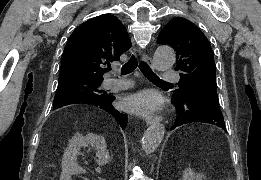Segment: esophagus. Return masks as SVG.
Segmentation results:
<instances>
[{"label":"esophagus","mask_w":261,"mask_h":180,"mask_svg":"<svg viewBox=\"0 0 261 180\" xmlns=\"http://www.w3.org/2000/svg\"><path fill=\"white\" fill-rule=\"evenodd\" d=\"M143 60H144V62L148 63L153 68L152 58L149 55H143ZM161 119H162V117L160 115L148 116L145 118V122L147 125H150L151 123L154 124L156 122H159Z\"/></svg>","instance_id":"1"}]
</instances>
